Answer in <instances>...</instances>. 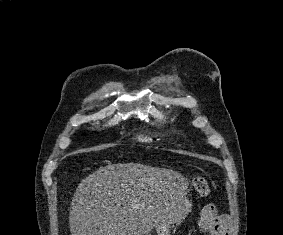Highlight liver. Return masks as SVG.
<instances>
[{
  "mask_svg": "<svg viewBox=\"0 0 283 235\" xmlns=\"http://www.w3.org/2000/svg\"><path fill=\"white\" fill-rule=\"evenodd\" d=\"M187 181L178 172L138 163L98 168L78 185L71 235H143L172 216Z\"/></svg>",
  "mask_w": 283,
  "mask_h": 235,
  "instance_id": "6515ba94",
  "label": "liver"
}]
</instances>
